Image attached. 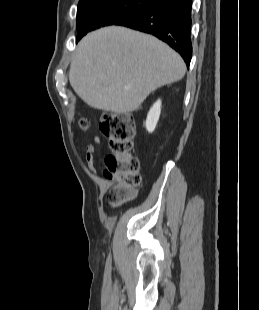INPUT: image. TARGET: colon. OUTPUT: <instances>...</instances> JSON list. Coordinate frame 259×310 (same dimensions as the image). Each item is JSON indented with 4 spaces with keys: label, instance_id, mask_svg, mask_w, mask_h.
Instances as JSON below:
<instances>
[{
    "label": "colon",
    "instance_id": "obj_1",
    "mask_svg": "<svg viewBox=\"0 0 259 310\" xmlns=\"http://www.w3.org/2000/svg\"><path fill=\"white\" fill-rule=\"evenodd\" d=\"M80 126L86 130L89 123L83 119ZM100 130L111 151L105 157V176L118 182L108 195V201L111 206H119L132 197L134 188L140 183L139 160L133 154L135 121L130 115H105L100 120Z\"/></svg>",
    "mask_w": 259,
    "mask_h": 310
}]
</instances>
